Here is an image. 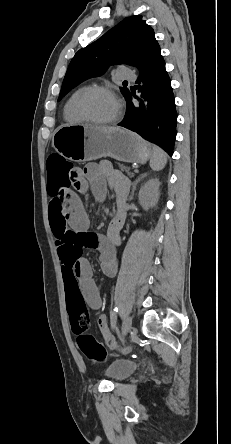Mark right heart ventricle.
I'll list each match as a JSON object with an SVG mask.
<instances>
[{
  "label": "right heart ventricle",
  "instance_id": "1",
  "mask_svg": "<svg viewBox=\"0 0 231 444\" xmlns=\"http://www.w3.org/2000/svg\"><path fill=\"white\" fill-rule=\"evenodd\" d=\"M86 88V85L77 87L67 98L63 108V117L68 123L80 124L84 122L76 112V102Z\"/></svg>",
  "mask_w": 231,
  "mask_h": 444
}]
</instances>
